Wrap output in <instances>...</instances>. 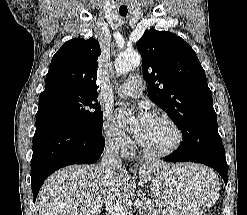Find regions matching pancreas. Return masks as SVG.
<instances>
[{"label": "pancreas", "mask_w": 247, "mask_h": 215, "mask_svg": "<svg viewBox=\"0 0 247 215\" xmlns=\"http://www.w3.org/2000/svg\"><path fill=\"white\" fill-rule=\"evenodd\" d=\"M139 213L140 215H158L157 209L151 203L140 202Z\"/></svg>", "instance_id": "obj_1"}]
</instances>
